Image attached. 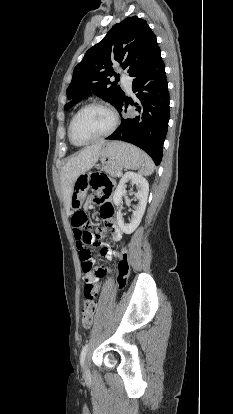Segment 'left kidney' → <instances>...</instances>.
<instances>
[{"label": "left kidney", "instance_id": "5707ae66", "mask_svg": "<svg viewBox=\"0 0 233 414\" xmlns=\"http://www.w3.org/2000/svg\"><path fill=\"white\" fill-rule=\"evenodd\" d=\"M129 181L137 187L135 195L139 200V203L133 210V215L129 223L124 222L121 210L117 212L118 225L125 234L133 233L139 226L146 209L149 192L148 181L143 176L134 172H126L121 178L113 195V202L116 206H120L122 204V196L126 194V183Z\"/></svg>", "mask_w": 233, "mask_h": 414}]
</instances>
